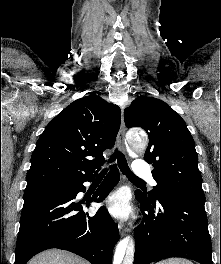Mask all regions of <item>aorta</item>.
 <instances>
[{
    "instance_id": "obj_1",
    "label": "aorta",
    "mask_w": 221,
    "mask_h": 264,
    "mask_svg": "<svg viewBox=\"0 0 221 264\" xmlns=\"http://www.w3.org/2000/svg\"><path fill=\"white\" fill-rule=\"evenodd\" d=\"M129 143L138 152H144L147 146V140L144 135L132 134L129 137ZM134 252V239L132 237L124 238L116 247L113 264H133Z\"/></svg>"
}]
</instances>
